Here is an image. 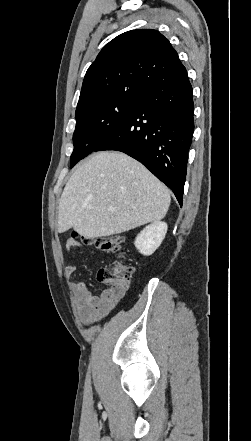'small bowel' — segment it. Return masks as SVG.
<instances>
[{
    "label": "small bowel",
    "instance_id": "small-bowel-1",
    "mask_svg": "<svg viewBox=\"0 0 251 441\" xmlns=\"http://www.w3.org/2000/svg\"><path fill=\"white\" fill-rule=\"evenodd\" d=\"M75 246H80L75 240H68L66 243L67 250ZM75 271L74 264L65 267V273L68 276H72ZM72 290L78 316L84 324H90L106 317L117 306L124 294V291H116L110 287L99 295H95L84 280L73 282Z\"/></svg>",
    "mask_w": 251,
    "mask_h": 441
}]
</instances>
